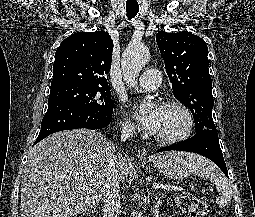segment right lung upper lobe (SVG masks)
<instances>
[{"label": "right lung upper lobe", "mask_w": 255, "mask_h": 217, "mask_svg": "<svg viewBox=\"0 0 255 217\" xmlns=\"http://www.w3.org/2000/svg\"><path fill=\"white\" fill-rule=\"evenodd\" d=\"M112 50L108 32L72 34L56 50L51 87L62 84L108 87L105 76L111 68Z\"/></svg>", "instance_id": "right-lung-upper-lobe-1"}]
</instances>
